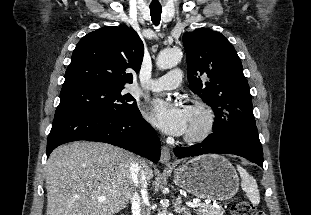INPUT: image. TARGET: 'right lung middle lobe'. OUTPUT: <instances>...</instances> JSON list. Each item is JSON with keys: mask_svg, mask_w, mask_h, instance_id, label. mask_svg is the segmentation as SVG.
Listing matches in <instances>:
<instances>
[{"mask_svg": "<svg viewBox=\"0 0 311 215\" xmlns=\"http://www.w3.org/2000/svg\"><path fill=\"white\" fill-rule=\"evenodd\" d=\"M123 87H110L95 83L63 86L55 117L65 114H89L104 117H122L138 113L131 94Z\"/></svg>", "mask_w": 311, "mask_h": 215, "instance_id": "1", "label": "right lung middle lobe"}]
</instances>
